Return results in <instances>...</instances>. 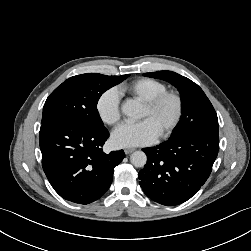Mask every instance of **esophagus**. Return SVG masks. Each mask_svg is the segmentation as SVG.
I'll list each match as a JSON object with an SVG mask.
<instances>
[{"label":"esophagus","instance_id":"obj_1","mask_svg":"<svg viewBox=\"0 0 251 251\" xmlns=\"http://www.w3.org/2000/svg\"><path fill=\"white\" fill-rule=\"evenodd\" d=\"M133 151H134V149H132V148H126V149L124 150V152H125L126 155L132 153Z\"/></svg>","mask_w":251,"mask_h":251}]
</instances>
